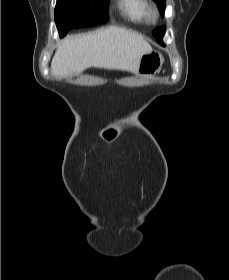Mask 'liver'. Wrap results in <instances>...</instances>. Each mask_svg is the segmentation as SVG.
<instances>
[{
	"mask_svg": "<svg viewBox=\"0 0 229 280\" xmlns=\"http://www.w3.org/2000/svg\"><path fill=\"white\" fill-rule=\"evenodd\" d=\"M151 51L141 34L111 26L65 38L52 59L51 72L60 78L91 67L137 73L141 57Z\"/></svg>",
	"mask_w": 229,
	"mask_h": 280,
	"instance_id": "6515ba94",
	"label": "liver"
}]
</instances>
